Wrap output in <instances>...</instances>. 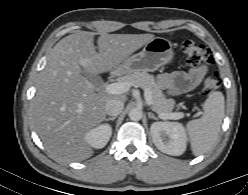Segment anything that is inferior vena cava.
Here are the masks:
<instances>
[{
  "mask_svg": "<svg viewBox=\"0 0 248 195\" xmlns=\"http://www.w3.org/2000/svg\"><path fill=\"white\" fill-rule=\"evenodd\" d=\"M124 108V103L123 101L119 99H110L107 101L105 110L106 113L110 116H117L119 115Z\"/></svg>",
  "mask_w": 248,
  "mask_h": 195,
  "instance_id": "obj_1",
  "label": "inferior vena cava"
}]
</instances>
